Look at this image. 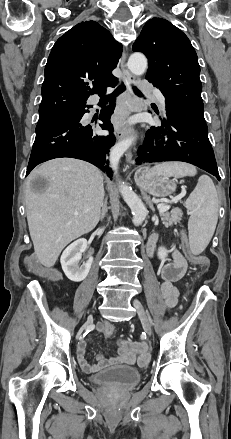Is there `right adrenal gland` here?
<instances>
[{"label": "right adrenal gland", "mask_w": 231, "mask_h": 439, "mask_svg": "<svg viewBox=\"0 0 231 439\" xmlns=\"http://www.w3.org/2000/svg\"><path fill=\"white\" fill-rule=\"evenodd\" d=\"M107 200H108V198L105 197L104 203L102 204V210H101V216H100L101 221L105 218L106 213L108 211Z\"/></svg>", "instance_id": "obj_1"}]
</instances>
